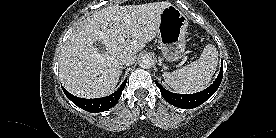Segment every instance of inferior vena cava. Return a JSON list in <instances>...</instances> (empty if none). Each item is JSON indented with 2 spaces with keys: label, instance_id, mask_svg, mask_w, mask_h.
<instances>
[{
  "label": "inferior vena cava",
  "instance_id": "obj_1",
  "mask_svg": "<svg viewBox=\"0 0 276 138\" xmlns=\"http://www.w3.org/2000/svg\"><path fill=\"white\" fill-rule=\"evenodd\" d=\"M136 60V54L133 52H127L121 55V63L123 65H132Z\"/></svg>",
  "mask_w": 276,
  "mask_h": 138
}]
</instances>
